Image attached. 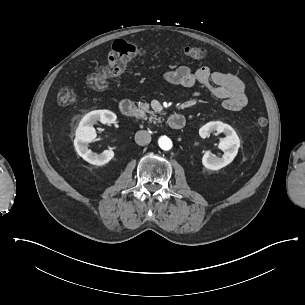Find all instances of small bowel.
I'll return each mask as SVG.
<instances>
[{
    "mask_svg": "<svg viewBox=\"0 0 305 305\" xmlns=\"http://www.w3.org/2000/svg\"><path fill=\"white\" fill-rule=\"evenodd\" d=\"M106 61L112 64L115 58L109 55ZM161 77L164 82L171 85L191 87L199 83L220 99L223 108L229 111H239L247 105L244 83L234 75L212 71L208 66H201L194 70L187 66H180L174 70L165 71Z\"/></svg>",
    "mask_w": 305,
    "mask_h": 305,
    "instance_id": "c3829d8e",
    "label": "small bowel"
}]
</instances>
